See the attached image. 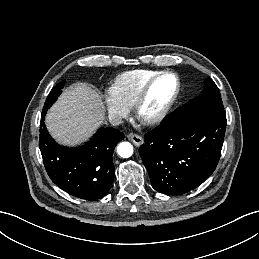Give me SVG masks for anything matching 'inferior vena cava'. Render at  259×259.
Wrapping results in <instances>:
<instances>
[{"instance_id": "1", "label": "inferior vena cava", "mask_w": 259, "mask_h": 259, "mask_svg": "<svg viewBox=\"0 0 259 259\" xmlns=\"http://www.w3.org/2000/svg\"><path fill=\"white\" fill-rule=\"evenodd\" d=\"M109 122L113 125V126H118L121 125L123 123L122 118L118 115H111L109 116Z\"/></svg>"}]
</instances>
